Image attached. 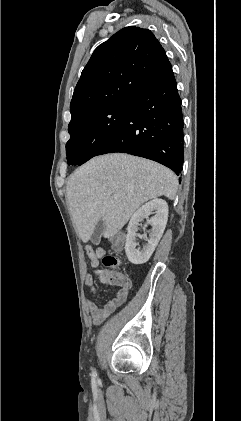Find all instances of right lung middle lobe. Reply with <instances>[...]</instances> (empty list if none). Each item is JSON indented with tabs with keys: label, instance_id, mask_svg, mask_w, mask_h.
I'll use <instances>...</instances> for the list:
<instances>
[{
	"label": "right lung middle lobe",
	"instance_id": "1",
	"mask_svg": "<svg viewBox=\"0 0 241 421\" xmlns=\"http://www.w3.org/2000/svg\"><path fill=\"white\" fill-rule=\"evenodd\" d=\"M128 100L95 110L69 124L66 144L69 165H81L96 155L124 121Z\"/></svg>",
	"mask_w": 241,
	"mask_h": 421
}]
</instances>
